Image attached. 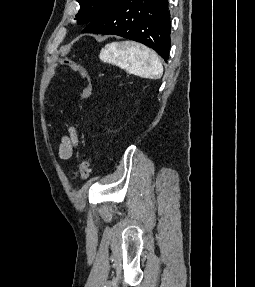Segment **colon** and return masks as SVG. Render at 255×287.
Listing matches in <instances>:
<instances>
[{
    "label": "colon",
    "mask_w": 255,
    "mask_h": 287,
    "mask_svg": "<svg viewBox=\"0 0 255 287\" xmlns=\"http://www.w3.org/2000/svg\"><path fill=\"white\" fill-rule=\"evenodd\" d=\"M61 64L68 68L69 70L77 73L84 81V88L81 93L82 98H88L91 95L92 87L91 80L86 69L80 64L70 60V59H62ZM90 162L89 159L84 157L79 164V174L83 181L87 180L90 176Z\"/></svg>",
    "instance_id": "colon-1"
}]
</instances>
